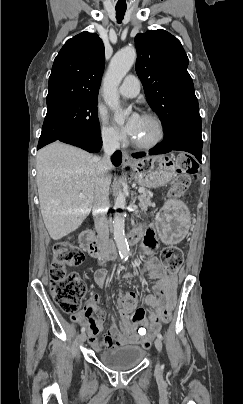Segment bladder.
<instances>
[{
	"instance_id": "1",
	"label": "bladder",
	"mask_w": 243,
	"mask_h": 404,
	"mask_svg": "<svg viewBox=\"0 0 243 404\" xmlns=\"http://www.w3.org/2000/svg\"><path fill=\"white\" fill-rule=\"evenodd\" d=\"M146 351L138 345H125L102 351L98 354L100 363L113 371L136 368L144 360Z\"/></svg>"
}]
</instances>
